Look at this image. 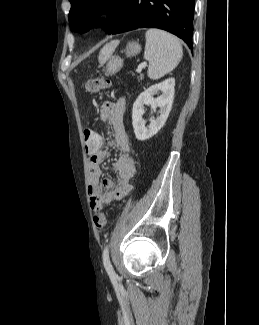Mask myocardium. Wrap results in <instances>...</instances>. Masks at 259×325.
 <instances>
[{"label": "myocardium", "instance_id": "f54148a6", "mask_svg": "<svg viewBox=\"0 0 259 325\" xmlns=\"http://www.w3.org/2000/svg\"><path fill=\"white\" fill-rule=\"evenodd\" d=\"M113 14V8L108 5L98 7L94 12L95 19H106Z\"/></svg>", "mask_w": 259, "mask_h": 325}]
</instances>
